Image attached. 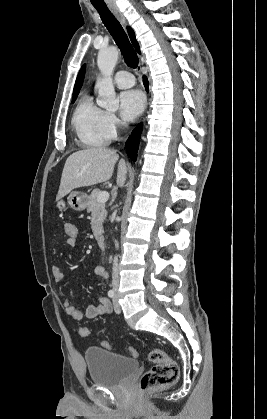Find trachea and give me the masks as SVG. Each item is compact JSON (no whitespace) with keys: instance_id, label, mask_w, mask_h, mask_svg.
I'll return each mask as SVG.
<instances>
[{"instance_id":"3493384b","label":"trachea","mask_w":267,"mask_h":419,"mask_svg":"<svg viewBox=\"0 0 267 419\" xmlns=\"http://www.w3.org/2000/svg\"><path fill=\"white\" fill-rule=\"evenodd\" d=\"M95 8L98 11L104 25L112 35L115 43L121 50L125 63L129 67L137 69L139 64L138 56L119 21L114 17V15L106 6H95Z\"/></svg>"}]
</instances>
